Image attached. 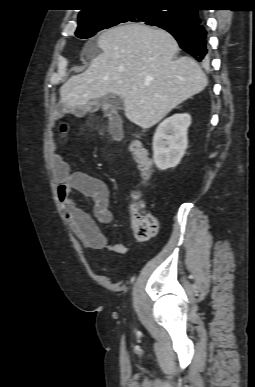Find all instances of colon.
Returning <instances> with one entry per match:
<instances>
[{
  "mask_svg": "<svg viewBox=\"0 0 255 387\" xmlns=\"http://www.w3.org/2000/svg\"><path fill=\"white\" fill-rule=\"evenodd\" d=\"M129 151L133 155L144 181H149L154 173V167L146 149L138 140H131ZM130 223L135 235L139 238H150L158 232V220L146 213L141 193L134 192L130 204Z\"/></svg>",
  "mask_w": 255,
  "mask_h": 387,
  "instance_id": "5ec220e1",
  "label": "colon"
}]
</instances>
